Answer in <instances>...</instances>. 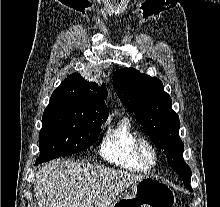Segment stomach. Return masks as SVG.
I'll use <instances>...</instances> for the list:
<instances>
[{
    "instance_id": "0dacf381",
    "label": "stomach",
    "mask_w": 220,
    "mask_h": 207,
    "mask_svg": "<svg viewBox=\"0 0 220 207\" xmlns=\"http://www.w3.org/2000/svg\"><path fill=\"white\" fill-rule=\"evenodd\" d=\"M176 198L165 182L145 176L135 182L131 193L119 197L110 207H174Z\"/></svg>"
}]
</instances>
